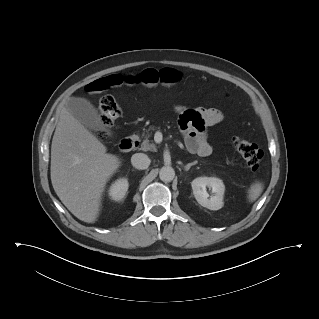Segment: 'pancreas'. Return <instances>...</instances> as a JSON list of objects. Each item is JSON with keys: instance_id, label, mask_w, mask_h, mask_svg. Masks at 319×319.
I'll list each match as a JSON object with an SVG mask.
<instances>
[{"instance_id": "obj_1", "label": "pancreas", "mask_w": 319, "mask_h": 319, "mask_svg": "<svg viewBox=\"0 0 319 319\" xmlns=\"http://www.w3.org/2000/svg\"><path fill=\"white\" fill-rule=\"evenodd\" d=\"M150 130H154V128L150 127L142 135L144 137V140L141 144V150L155 152L157 150L156 145L149 140V137L151 136V134L149 133Z\"/></svg>"}]
</instances>
